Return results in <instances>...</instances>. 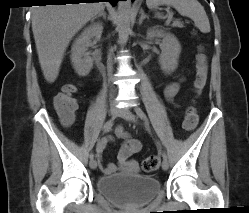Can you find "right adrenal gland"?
<instances>
[{
	"instance_id": "1",
	"label": "right adrenal gland",
	"mask_w": 249,
	"mask_h": 213,
	"mask_svg": "<svg viewBox=\"0 0 249 213\" xmlns=\"http://www.w3.org/2000/svg\"><path fill=\"white\" fill-rule=\"evenodd\" d=\"M101 16H103L104 19L106 18V13H105L104 10H103L102 12H100L96 17H94V18L92 19V21H94V19H96V18H98V17H101Z\"/></svg>"
}]
</instances>
